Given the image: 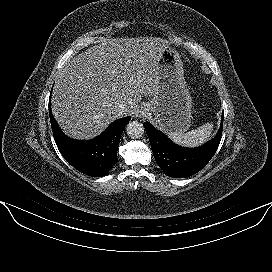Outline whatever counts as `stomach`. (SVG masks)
Listing matches in <instances>:
<instances>
[{
  "instance_id": "obj_1",
  "label": "stomach",
  "mask_w": 272,
  "mask_h": 272,
  "mask_svg": "<svg viewBox=\"0 0 272 272\" xmlns=\"http://www.w3.org/2000/svg\"><path fill=\"white\" fill-rule=\"evenodd\" d=\"M143 107L167 133H183L191 125L192 98L180 55L171 46H167L159 60L157 90Z\"/></svg>"
}]
</instances>
